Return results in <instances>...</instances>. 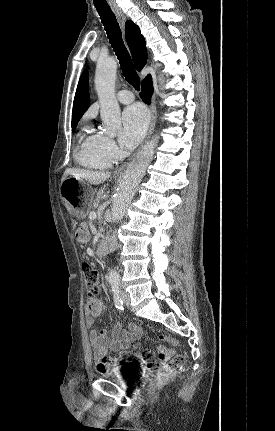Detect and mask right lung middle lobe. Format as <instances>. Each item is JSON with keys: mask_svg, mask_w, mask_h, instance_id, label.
I'll use <instances>...</instances> for the list:
<instances>
[{"mask_svg": "<svg viewBox=\"0 0 275 431\" xmlns=\"http://www.w3.org/2000/svg\"><path fill=\"white\" fill-rule=\"evenodd\" d=\"M76 126H72V132L75 130Z\"/></svg>", "mask_w": 275, "mask_h": 431, "instance_id": "obj_1", "label": "right lung middle lobe"}]
</instances>
